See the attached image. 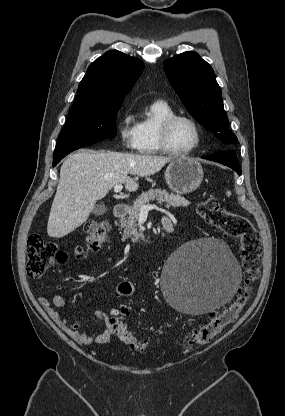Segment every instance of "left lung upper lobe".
Masks as SVG:
<instances>
[{
	"instance_id": "1",
	"label": "left lung upper lobe",
	"mask_w": 285,
	"mask_h": 416,
	"mask_svg": "<svg viewBox=\"0 0 285 416\" xmlns=\"http://www.w3.org/2000/svg\"><path fill=\"white\" fill-rule=\"evenodd\" d=\"M164 70L188 112L226 144L237 143L228 129L221 89L212 67L196 52H184L165 60Z\"/></svg>"
}]
</instances>
